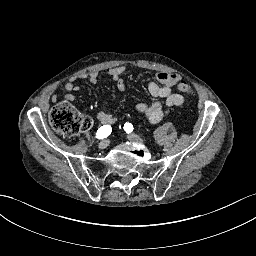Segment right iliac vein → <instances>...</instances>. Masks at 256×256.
I'll use <instances>...</instances> for the list:
<instances>
[{"mask_svg": "<svg viewBox=\"0 0 256 256\" xmlns=\"http://www.w3.org/2000/svg\"><path fill=\"white\" fill-rule=\"evenodd\" d=\"M109 146V141L107 139H104L102 140L100 143H99V148L100 149H106L107 147Z\"/></svg>", "mask_w": 256, "mask_h": 256, "instance_id": "right-iliac-vein-1", "label": "right iliac vein"}]
</instances>
